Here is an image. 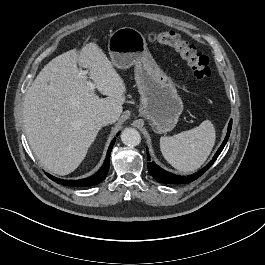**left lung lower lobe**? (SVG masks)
I'll list each match as a JSON object with an SVG mask.
<instances>
[{
    "label": "left lung lower lobe",
    "mask_w": 265,
    "mask_h": 265,
    "mask_svg": "<svg viewBox=\"0 0 265 265\" xmlns=\"http://www.w3.org/2000/svg\"><path fill=\"white\" fill-rule=\"evenodd\" d=\"M231 127H232V120H230L229 125H228V131L226 134V137L223 141V143L221 144L220 148L218 149V151L216 152V154L214 155L213 159L201 170H199L198 172L190 175V176H177L174 175L170 172L165 171L164 169H162L161 167H159L154 161H150L149 160V154L147 152V157H148V163H147V167H148V171L151 174V176L162 183H173V184H184V183H190L194 180H196L197 178H199L203 173H205L210 166L215 162V160L217 159V157L220 155L221 151L223 150L224 146L226 145L230 132H231Z\"/></svg>",
    "instance_id": "0a47b994"
}]
</instances>
